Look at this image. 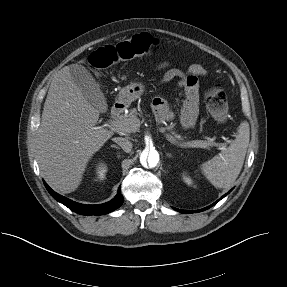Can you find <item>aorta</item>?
Masks as SVG:
<instances>
[{"mask_svg":"<svg viewBox=\"0 0 287 287\" xmlns=\"http://www.w3.org/2000/svg\"><path fill=\"white\" fill-rule=\"evenodd\" d=\"M143 166L154 168L159 163V153L155 149H145L140 155Z\"/></svg>","mask_w":287,"mask_h":287,"instance_id":"762f6f07","label":"aorta"}]
</instances>
